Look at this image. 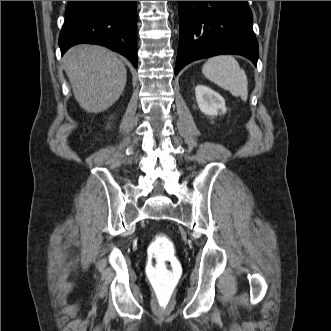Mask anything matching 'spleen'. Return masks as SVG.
<instances>
[{
  "label": "spleen",
  "instance_id": "spleen-1",
  "mask_svg": "<svg viewBox=\"0 0 331 331\" xmlns=\"http://www.w3.org/2000/svg\"><path fill=\"white\" fill-rule=\"evenodd\" d=\"M202 73L233 96H240L243 101L247 100V76L233 56L219 55L209 58L202 67Z\"/></svg>",
  "mask_w": 331,
  "mask_h": 331
}]
</instances>
